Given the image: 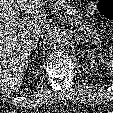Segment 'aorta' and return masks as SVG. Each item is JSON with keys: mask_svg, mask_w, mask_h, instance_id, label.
Masks as SVG:
<instances>
[{"mask_svg": "<svg viewBox=\"0 0 113 113\" xmlns=\"http://www.w3.org/2000/svg\"><path fill=\"white\" fill-rule=\"evenodd\" d=\"M68 38V34L65 31L55 30L49 36V44L54 49H61L67 44Z\"/></svg>", "mask_w": 113, "mask_h": 113, "instance_id": "aorta-1", "label": "aorta"}]
</instances>
